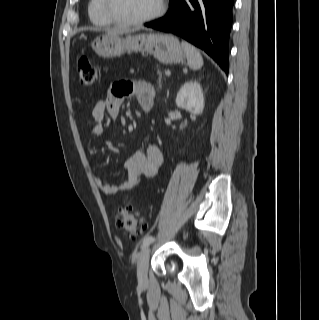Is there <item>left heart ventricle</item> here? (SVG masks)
<instances>
[{
  "label": "left heart ventricle",
  "mask_w": 319,
  "mask_h": 320,
  "mask_svg": "<svg viewBox=\"0 0 319 320\" xmlns=\"http://www.w3.org/2000/svg\"><path fill=\"white\" fill-rule=\"evenodd\" d=\"M160 0H112V9L121 18L136 19L155 12Z\"/></svg>",
  "instance_id": "left-heart-ventricle-1"
}]
</instances>
